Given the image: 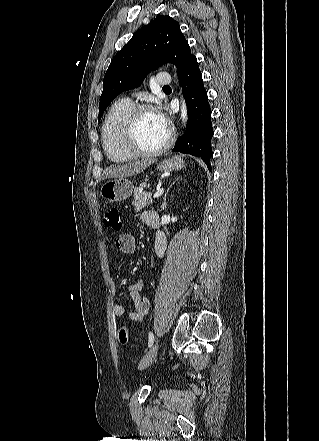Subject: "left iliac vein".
<instances>
[{"mask_svg": "<svg viewBox=\"0 0 319 441\" xmlns=\"http://www.w3.org/2000/svg\"><path fill=\"white\" fill-rule=\"evenodd\" d=\"M159 344L156 342L150 350L146 353V355L141 359L138 368L140 370L147 368L150 366L155 360L158 353Z\"/></svg>", "mask_w": 319, "mask_h": 441, "instance_id": "4c4485c4", "label": "left iliac vein"}]
</instances>
